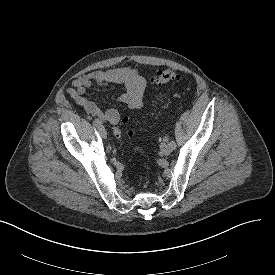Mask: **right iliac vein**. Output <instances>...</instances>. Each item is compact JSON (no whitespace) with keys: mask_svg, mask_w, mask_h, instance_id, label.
I'll return each mask as SVG.
<instances>
[{"mask_svg":"<svg viewBox=\"0 0 275 275\" xmlns=\"http://www.w3.org/2000/svg\"><path fill=\"white\" fill-rule=\"evenodd\" d=\"M98 131H99L100 135H101L104 139L107 138V132H106L105 128H104L102 125H100V126L98 127Z\"/></svg>","mask_w":275,"mask_h":275,"instance_id":"right-iliac-vein-1","label":"right iliac vein"}]
</instances>
